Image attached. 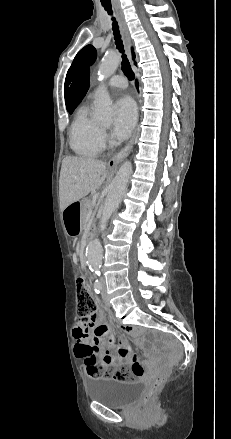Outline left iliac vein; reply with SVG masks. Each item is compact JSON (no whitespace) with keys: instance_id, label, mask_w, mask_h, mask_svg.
Masks as SVG:
<instances>
[{"instance_id":"obj_1","label":"left iliac vein","mask_w":231,"mask_h":439,"mask_svg":"<svg viewBox=\"0 0 231 439\" xmlns=\"http://www.w3.org/2000/svg\"><path fill=\"white\" fill-rule=\"evenodd\" d=\"M101 285H102V296H103L104 302L107 306H110L109 299L107 298L106 282L104 280L101 281Z\"/></svg>"}]
</instances>
